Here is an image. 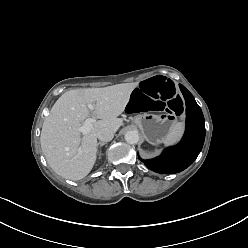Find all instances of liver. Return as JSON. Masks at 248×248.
Segmentation results:
<instances>
[{
    "label": "liver",
    "mask_w": 248,
    "mask_h": 248,
    "mask_svg": "<svg viewBox=\"0 0 248 248\" xmlns=\"http://www.w3.org/2000/svg\"><path fill=\"white\" fill-rule=\"evenodd\" d=\"M138 82L104 88H78L65 92L45 118L40 136L42 152L52 170L65 179L86 177L97 158V132L110 128L116 132L123 124V113ZM94 104L93 128L81 135L78 128L89 116L88 104Z\"/></svg>",
    "instance_id": "liver-1"
}]
</instances>
